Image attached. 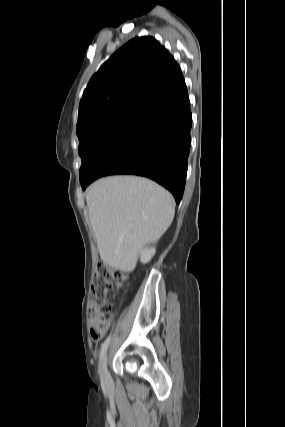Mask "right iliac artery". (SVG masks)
Here are the masks:
<instances>
[{"mask_svg":"<svg viewBox=\"0 0 285 427\" xmlns=\"http://www.w3.org/2000/svg\"><path fill=\"white\" fill-rule=\"evenodd\" d=\"M110 339H111V334L107 337V339L102 344L101 351H100V362H101V359L103 358V356L107 350V347L110 343ZM99 372H100V370H99ZM100 374H101V372H100Z\"/></svg>","mask_w":285,"mask_h":427,"instance_id":"obj_1","label":"right iliac artery"}]
</instances>
